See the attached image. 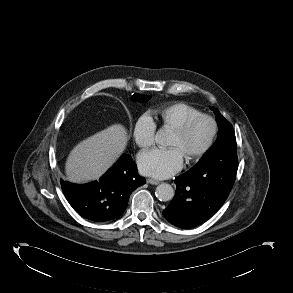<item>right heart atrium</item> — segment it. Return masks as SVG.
<instances>
[{"label":"right heart atrium","instance_id":"obj_1","mask_svg":"<svg viewBox=\"0 0 293 293\" xmlns=\"http://www.w3.org/2000/svg\"><path fill=\"white\" fill-rule=\"evenodd\" d=\"M156 133V123L153 117L144 113L140 115L133 125V138L135 143L142 149L153 145Z\"/></svg>","mask_w":293,"mask_h":293}]
</instances>
